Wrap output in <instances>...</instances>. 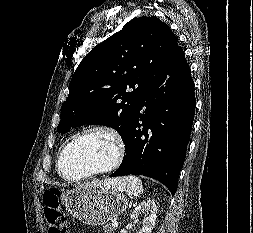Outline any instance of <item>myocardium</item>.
Segmentation results:
<instances>
[{
	"label": "myocardium",
	"instance_id": "1",
	"mask_svg": "<svg viewBox=\"0 0 253 233\" xmlns=\"http://www.w3.org/2000/svg\"><path fill=\"white\" fill-rule=\"evenodd\" d=\"M93 133H103L105 135H108L113 140L115 144L114 158L108 165L95 169L93 171H90L81 176H76V177L67 176L62 170V159L66 150L73 142ZM125 154H126V144H125L122 134L117 129L108 125H104V124L91 125L75 133L64 143V145L62 146L57 156V171L64 180L68 182H79L96 175L112 172L122 163L125 157Z\"/></svg>",
	"mask_w": 253,
	"mask_h": 233
}]
</instances>
